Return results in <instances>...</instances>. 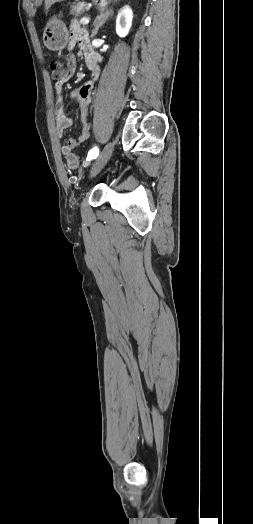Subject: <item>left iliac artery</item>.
<instances>
[{
  "label": "left iliac artery",
  "mask_w": 253,
  "mask_h": 524,
  "mask_svg": "<svg viewBox=\"0 0 253 524\" xmlns=\"http://www.w3.org/2000/svg\"><path fill=\"white\" fill-rule=\"evenodd\" d=\"M99 154V148L98 146H95L93 149H91L88 153V160L95 159Z\"/></svg>",
  "instance_id": "obj_1"
}]
</instances>
